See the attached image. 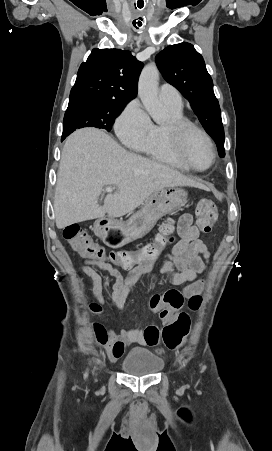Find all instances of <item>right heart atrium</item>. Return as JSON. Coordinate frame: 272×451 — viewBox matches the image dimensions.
<instances>
[{
    "label": "right heart atrium",
    "instance_id": "d8ad5b80",
    "mask_svg": "<svg viewBox=\"0 0 272 451\" xmlns=\"http://www.w3.org/2000/svg\"><path fill=\"white\" fill-rule=\"evenodd\" d=\"M152 126L149 115L137 101H132L125 108L115 125L119 136L130 145L144 142Z\"/></svg>",
    "mask_w": 272,
    "mask_h": 451
}]
</instances>
